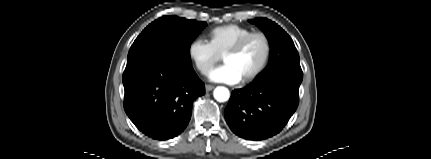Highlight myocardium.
<instances>
[{"instance_id": "obj_1", "label": "myocardium", "mask_w": 431, "mask_h": 159, "mask_svg": "<svg viewBox=\"0 0 431 159\" xmlns=\"http://www.w3.org/2000/svg\"><path fill=\"white\" fill-rule=\"evenodd\" d=\"M261 38L264 41L265 44V55L263 58V61L259 65V67L252 72L250 75L242 79L243 83H250L254 80H256L258 77H260L264 71L267 69L271 55H272V43L270 38L267 34L264 32H252L246 36H244L242 39H240L235 45H233L231 48H229L224 54L223 59H225L227 56L231 55H237L241 53L244 48L248 45V43L254 39V38Z\"/></svg>"}]
</instances>
